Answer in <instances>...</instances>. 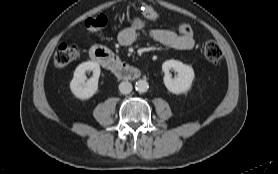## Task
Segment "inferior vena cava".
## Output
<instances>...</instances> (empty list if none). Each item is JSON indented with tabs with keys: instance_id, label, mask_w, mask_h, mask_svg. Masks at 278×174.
<instances>
[{
	"instance_id": "602c4592",
	"label": "inferior vena cava",
	"mask_w": 278,
	"mask_h": 174,
	"mask_svg": "<svg viewBox=\"0 0 278 174\" xmlns=\"http://www.w3.org/2000/svg\"><path fill=\"white\" fill-rule=\"evenodd\" d=\"M119 91L122 94H129L132 91V84L128 81L121 82L119 84Z\"/></svg>"
}]
</instances>
